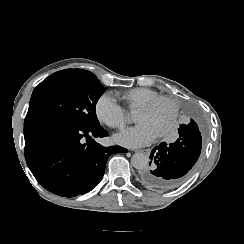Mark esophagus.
I'll list each match as a JSON object with an SVG mask.
<instances>
[{"instance_id":"34e87169","label":"esophagus","mask_w":244,"mask_h":244,"mask_svg":"<svg viewBox=\"0 0 244 244\" xmlns=\"http://www.w3.org/2000/svg\"><path fill=\"white\" fill-rule=\"evenodd\" d=\"M151 149L150 148H146V149H140V150H135V153H143L145 155H149L150 154Z\"/></svg>"}]
</instances>
